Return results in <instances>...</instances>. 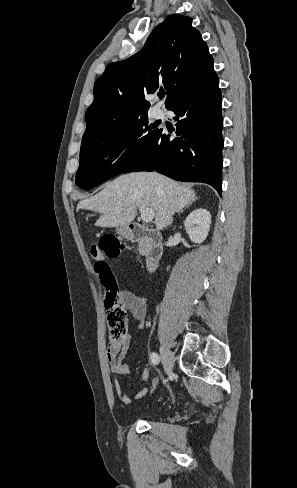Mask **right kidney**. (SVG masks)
Wrapping results in <instances>:
<instances>
[{
	"label": "right kidney",
	"instance_id": "1",
	"mask_svg": "<svg viewBox=\"0 0 297 488\" xmlns=\"http://www.w3.org/2000/svg\"><path fill=\"white\" fill-rule=\"evenodd\" d=\"M211 214L204 208L193 210L185 219L184 226L190 240L202 243L210 230Z\"/></svg>",
	"mask_w": 297,
	"mask_h": 488
}]
</instances>
